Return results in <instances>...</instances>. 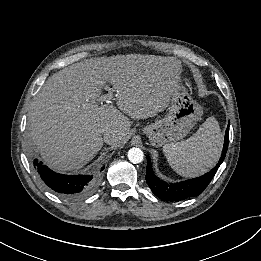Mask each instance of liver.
<instances>
[{
    "label": "liver",
    "mask_w": 261,
    "mask_h": 261,
    "mask_svg": "<svg viewBox=\"0 0 261 261\" xmlns=\"http://www.w3.org/2000/svg\"><path fill=\"white\" fill-rule=\"evenodd\" d=\"M174 57L127 54L85 59L49 77L28 113V133L43 160L58 171L77 170L103 147L105 131L121 146L131 127L128 117L156 116L181 83ZM109 82L116 104L98 105Z\"/></svg>",
    "instance_id": "6515ba94"
}]
</instances>
